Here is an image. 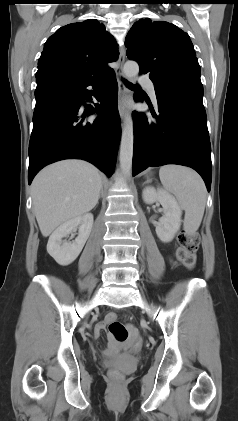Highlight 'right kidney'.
Returning a JSON list of instances; mask_svg holds the SVG:
<instances>
[{
  "instance_id": "1",
  "label": "right kidney",
  "mask_w": 238,
  "mask_h": 421,
  "mask_svg": "<svg viewBox=\"0 0 238 421\" xmlns=\"http://www.w3.org/2000/svg\"><path fill=\"white\" fill-rule=\"evenodd\" d=\"M79 226L78 237L73 242L62 241V238ZM93 226L91 213L71 219L61 224L49 237L47 252L62 266L70 265L82 251Z\"/></svg>"
}]
</instances>
